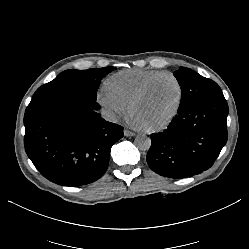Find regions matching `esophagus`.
I'll return each mask as SVG.
<instances>
[{"label": "esophagus", "instance_id": "esophagus-1", "mask_svg": "<svg viewBox=\"0 0 249 249\" xmlns=\"http://www.w3.org/2000/svg\"><path fill=\"white\" fill-rule=\"evenodd\" d=\"M124 134L127 137H129V136H135L136 135L134 132H132L130 130H127V129L124 130Z\"/></svg>", "mask_w": 249, "mask_h": 249}]
</instances>
